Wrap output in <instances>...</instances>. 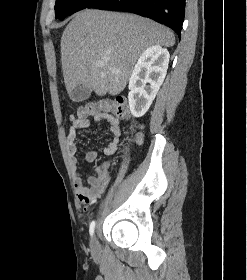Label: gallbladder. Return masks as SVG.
I'll list each match as a JSON object with an SVG mask.
<instances>
[{"instance_id":"bac80fb5","label":"gallbladder","mask_w":247,"mask_h":280,"mask_svg":"<svg viewBox=\"0 0 247 280\" xmlns=\"http://www.w3.org/2000/svg\"><path fill=\"white\" fill-rule=\"evenodd\" d=\"M92 89L87 86L79 87L72 96V100L75 102H81L89 98Z\"/></svg>"}]
</instances>
